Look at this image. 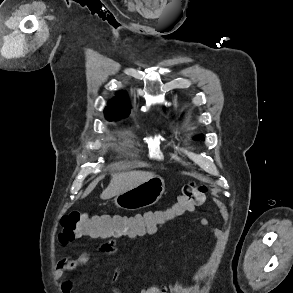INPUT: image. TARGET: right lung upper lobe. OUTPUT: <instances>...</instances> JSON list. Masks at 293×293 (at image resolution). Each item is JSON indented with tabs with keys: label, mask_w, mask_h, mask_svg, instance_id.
Masks as SVG:
<instances>
[{
	"label": "right lung upper lobe",
	"mask_w": 293,
	"mask_h": 293,
	"mask_svg": "<svg viewBox=\"0 0 293 293\" xmlns=\"http://www.w3.org/2000/svg\"><path fill=\"white\" fill-rule=\"evenodd\" d=\"M104 112L108 119L127 116L130 109L125 92L119 93L117 98L110 101Z\"/></svg>",
	"instance_id": "1"
}]
</instances>
